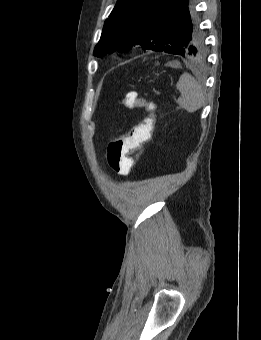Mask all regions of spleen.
Returning <instances> with one entry per match:
<instances>
[{
    "label": "spleen",
    "mask_w": 261,
    "mask_h": 340,
    "mask_svg": "<svg viewBox=\"0 0 261 340\" xmlns=\"http://www.w3.org/2000/svg\"><path fill=\"white\" fill-rule=\"evenodd\" d=\"M176 88L181 92L177 103L188 113H194L204 106V89L190 74H182L176 84Z\"/></svg>",
    "instance_id": "spleen-1"
}]
</instances>
